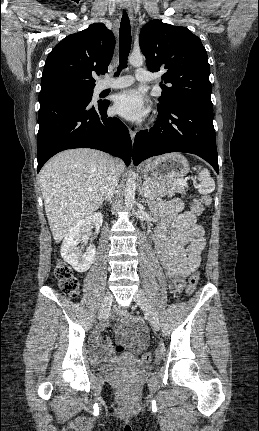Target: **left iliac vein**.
<instances>
[{"mask_svg":"<svg viewBox=\"0 0 259 431\" xmlns=\"http://www.w3.org/2000/svg\"><path fill=\"white\" fill-rule=\"evenodd\" d=\"M134 301L145 310L147 313L149 322L153 329L155 331L159 330V320L157 317V314L155 310L153 309L152 305L149 303L148 299L146 298L144 292L141 289H138L134 294Z\"/></svg>","mask_w":259,"mask_h":431,"instance_id":"4c4485c4","label":"left iliac vein"}]
</instances>
